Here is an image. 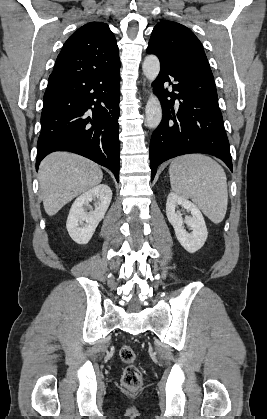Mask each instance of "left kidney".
<instances>
[{
	"label": "left kidney",
	"instance_id": "1",
	"mask_svg": "<svg viewBox=\"0 0 267 419\" xmlns=\"http://www.w3.org/2000/svg\"><path fill=\"white\" fill-rule=\"evenodd\" d=\"M177 206H181L189 211L191 216L182 218L180 212L176 211ZM166 215L175 230L177 240L186 251L194 253L202 248L207 239L208 232L204 217L194 203L171 192L167 198ZM184 223L190 227L191 232H187L184 229Z\"/></svg>",
	"mask_w": 267,
	"mask_h": 419
}]
</instances>
